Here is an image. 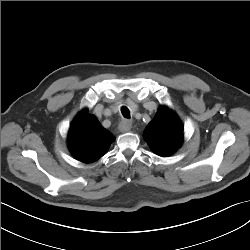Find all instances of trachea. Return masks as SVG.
Wrapping results in <instances>:
<instances>
[{"label":"trachea","mask_w":250,"mask_h":250,"mask_svg":"<svg viewBox=\"0 0 250 250\" xmlns=\"http://www.w3.org/2000/svg\"><path fill=\"white\" fill-rule=\"evenodd\" d=\"M121 113L125 118L130 119V112L127 107L123 106L121 108Z\"/></svg>","instance_id":"trachea-1"}]
</instances>
